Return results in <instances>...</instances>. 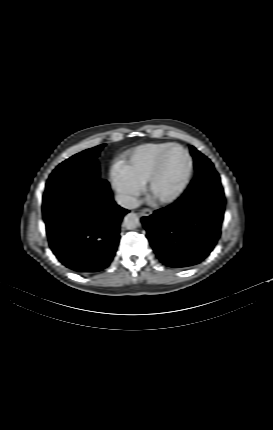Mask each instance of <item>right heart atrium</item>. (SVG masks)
<instances>
[{"label":"right heart atrium","instance_id":"d8ad5b80","mask_svg":"<svg viewBox=\"0 0 273 430\" xmlns=\"http://www.w3.org/2000/svg\"><path fill=\"white\" fill-rule=\"evenodd\" d=\"M110 179L121 201L131 206L141 192V186L127 173L122 164L116 163L110 169Z\"/></svg>","mask_w":273,"mask_h":430}]
</instances>
